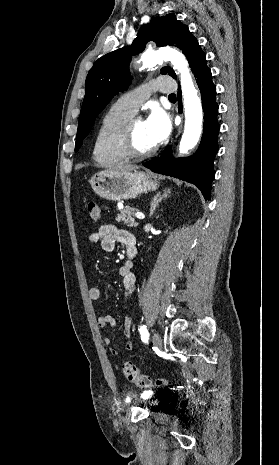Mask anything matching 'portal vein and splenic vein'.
Wrapping results in <instances>:
<instances>
[{"label":"portal vein and splenic vein","mask_w":279,"mask_h":465,"mask_svg":"<svg viewBox=\"0 0 279 465\" xmlns=\"http://www.w3.org/2000/svg\"><path fill=\"white\" fill-rule=\"evenodd\" d=\"M135 217L138 218V219H144L145 216H144V214L141 213V212H136V213H135Z\"/></svg>","instance_id":"18ae733b"}]
</instances>
